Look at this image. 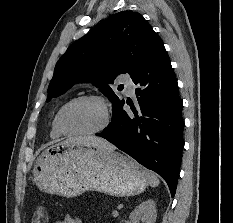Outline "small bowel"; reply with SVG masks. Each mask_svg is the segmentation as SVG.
<instances>
[{
  "label": "small bowel",
  "mask_w": 233,
  "mask_h": 223,
  "mask_svg": "<svg viewBox=\"0 0 233 223\" xmlns=\"http://www.w3.org/2000/svg\"><path fill=\"white\" fill-rule=\"evenodd\" d=\"M56 223H82V220L79 217L66 215L62 220H59Z\"/></svg>",
  "instance_id": "1"
}]
</instances>
